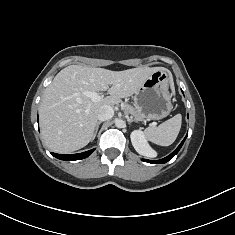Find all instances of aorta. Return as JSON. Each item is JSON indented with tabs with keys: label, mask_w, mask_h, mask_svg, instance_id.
<instances>
[{
	"label": "aorta",
	"mask_w": 235,
	"mask_h": 235,
	"mask_svg": "<svg viewBox=\"0 0 235 235\" xmlns=\"http://www.w3.org/2000/svg\"><path fill=\"white\" fill-rule=\"evenodd\" d=\"M115 126H116L117 128H122V127H124V121H123L122 119H117V120L115 121Z\"/></svg>",
	"instance_id": "obj_1"
}]
</instances>
